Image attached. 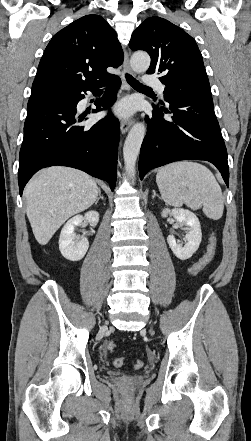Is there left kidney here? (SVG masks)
Listing matches in <instances>:
<instances>
[{"label":"left kidney","mask_w":251,"mask_h":441,"mask_svg":"<svg viewBox=\"0 0 251 441\" xmlns=\"http://www.w3.org/2000/svg\"><path fill=\"white\" fill-rule=\"evenodd\" d=\"M168 215L173 216L178 224L184 226V230H186L185 239L187 241L185 246L182 247L177 243L175 237L170 235L167 237L169 247L177 258L187 260L198 250L202 240L199 219L193 212L183 208L163 209L161 216L166 218Z\"/></svg>","instance_id":"left-kidney-1"}]
</instances>
